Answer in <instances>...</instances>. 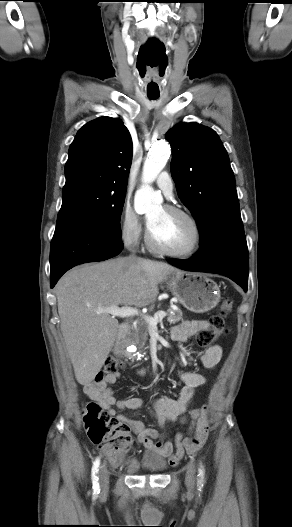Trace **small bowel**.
<instances>
[{
	"instance_id": "small-bowel-1",
	"label": "small bowel",
	"mask_w": 292,
	"mask_h": 527,
	"mask_svg": "<svg viewBox=\"0 0 292 527\" xmlns=\"http://www.w3.org/2000/svg\"><path fill=\"white\" fill-rule=\"evenodd\" d=\"M209 323L205 320H187L175 326L172 330V338L184 342L201 330L207 329ZM222 357V349L213 345L198 354V362L205 370L214 369ZM179 378L184 386L177 398L173 399L161 396L156 399L150 408L151 414L156 418L158 425L163 429L167 423H185L189 420L188 433L176 432L174 442L171 441L166 432H160L148 428L142 421L130 419L122 414L116 415L120 421L129 425L130 429L137 435V441L144 448L153 450L167 457L170 464H177L182 458L184 451L194 453L206 442L209 434L208 407L190 409V404L197 388L206 383L204 375L196 372H179ZM118 373L106 376L102 381L85 385L84 391L91 398L99 402L110 415H115L114 407L119 409H140L144 406L141 398L132 397L117 400L114 391L109 385L114 384ZM175 448V451H174Z\"/></svg>"
}]
</instances>
